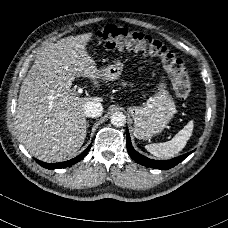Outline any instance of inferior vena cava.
<instances>
[{
    "label": "inferior vena cava",
    "mask_w": 228,
    "mask_h": 228,
    "mask_svg": "<svg viewBox=\"0 0 228 228\" xmlns=\"http://www.w3.org/2000/svg\"><path fill=\"white\" fill-rule=\"evenodd\" d=\"M103 112L102 104L93 100L87 101L84 105V113L87 117H99Z\"/></svg>",
    "instance_id": "1"
}]
</instances>
